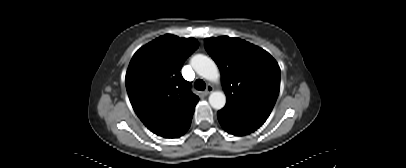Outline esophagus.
<instances>
[{"instance_id": "34e87169", "label": "esophagus", "mask_w": 406, "mask_h": 168, "mask_svg": "<svg viewBox=\"0 0 406 168\" xmlns=\"http://www.w3.org/2000/svg\"><path fill=\"white\" fill-rule=\"evenodd\" d=\"M213 86L212 85H208L206 90L204 91L205 95L210 94L213 91Z\"/></svg>"}]
</instances>
